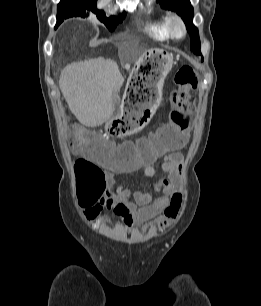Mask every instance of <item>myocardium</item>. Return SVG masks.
Here are the masks:
<instances>
[{
    "mask_svg": "<svg viewBox=\"0 0 261 306\" xmlns=\"http://www.w3.org/2000/svg\"><path fill=\"white\" fill-rule=\"evenodd\" d=\"M169 30L171 37L182 39L186 36L187 30L185 23L179 16H173L169 21Z\"/></svg>",
    "mask_w": 261,
    "mask_h": 306,
    "instance_id": "f54148a6",
    "label": "myocardium"
}]
</instances>
